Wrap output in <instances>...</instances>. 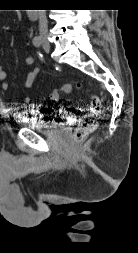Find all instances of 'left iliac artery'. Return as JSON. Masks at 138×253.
I'll return each mask as SVG.
<instances>
[{"label": "left iliac artery", "instance_id": "left-iliac-artery-1", "mask_svg": "<svg viewBox=\"0 0 138 253\" xmlns=\"http://www.w3.org/2000/svg\"><path fill=\"white\" fill-rule=\"evenodd\" d=\"M39 57L42 59V54L41 53H39Z\"/></svg>", "mask_w": 138, "mask_h": 253}]
</instances>
